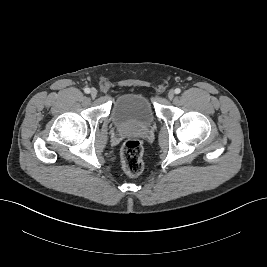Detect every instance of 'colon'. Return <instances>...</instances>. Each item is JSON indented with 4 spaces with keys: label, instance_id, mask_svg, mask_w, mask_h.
<instances>
[{
    "label": "colon",
    "instance_id": "5ec220e1",
    "mask_svg": "<svg viewBox=\"0 0 267 267\" xmlns=\"http://www.w3.org/2000/svg\"><path fill=\"white\" fill-rule=\"evenodd\" d=\"M143 148L136 139L128 140L122 148V166L124 172L131 176H139L143 171Z\"/></svg>",
    "mask_w": 267,
    "mask_h": 267
}]
</instances>
